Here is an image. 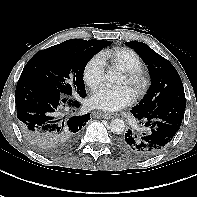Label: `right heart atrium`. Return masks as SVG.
Returning <instances> with one entry per match:
<instances>
[{
  "label": "right heart atrium",
  "instance_id": "1",
  "mask_svg": "<svg viewBox=\"0 0 197 197\" xmlns=\"http://www.w3.org/2000/svg\"><path fill=\"white\" fill-rule=\"evenodd\" d=\"M104 61L100 55L92 57L83 69V81L92 90L103 81Z\"/></svg>",
  "mask_w": 197,
  "mask_h": 197
}]
</instances>
